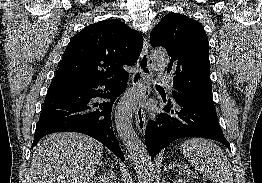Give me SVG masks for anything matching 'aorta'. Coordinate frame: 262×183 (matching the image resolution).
<instances>
[{
    "label": "aorta",
    "mask_w": 262,
    "mask_h": 183,
    "mask_svg": "<svg viewBox=\"0 0 262 183\" xmlns=\"http://www.w3.org/2000/svg\"><path fill=\"white\" fill-rule=\"evenodd\" d=\"M151 69L158 71L167 67L169 55L164 49H153L150 54ZM145 89L134 86L119 100L115 111L117 132L131 155L138 176L146 180L153 172V164L144 144L132 126V116L138 102L144 97Z\"/></svg>",
    "instance_id": "obj_1"
}]
</instances>
